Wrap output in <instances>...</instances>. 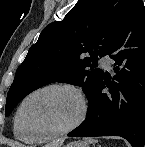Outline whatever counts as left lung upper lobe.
Instances as JSON below:
<instances>
[{
  "instance_id": "5c2ea615",
  "label": "left lung upper lobe",
  "mask_w": 145,
  "mask_h": 147,
  "mask_svg": "<svg viewBox=\"0 0 145 147\" xmlns=\"http://www.w3.org/2000/svg\"><path fill=\"white\" fill-rule=\"evenodd\" d=\"M130 2L78 0L64 20L47 25L16 71L7 94L5 116L26 95L52 82L81 86L90 102L104 76V71L96 68L98 56L108 54Z\"/></svg>"
}]
</instances>
